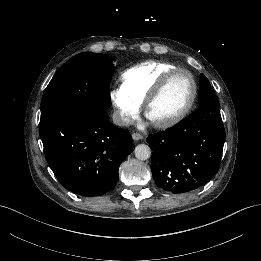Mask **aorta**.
I'll use <instances>...</instances> for the list:
<instances>
[{"mask_svg":"<svg viewBox=\"0 0 261 261\" xmlns=\"http://www.w3.org/2000/svg\"><path fill=\"white\" fill-rule=\"evenodd\" d=\"M134 153H135V157L138 159V160H147L150 158L151 156V149L148 145L146 144H139L135 147V150H134Z\"/></svg>","mask_w":261,"mask_h":261,"instance_id":"obj_1","label":"aorta"}]
</instances>
